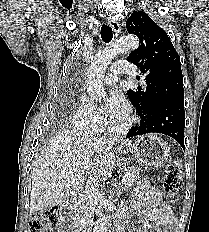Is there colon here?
<instances>
[{
  "instance_id": "colon-1",
  "label": "colon",
  "mask_w": 209,
  "mask_h": 232,
  "mask_svg": "<svg viewBox=\"0 0 209 232\" xmlns=\"http://www.w3.org/2000/svg\"><path fill=\"white\" fill-rule=\"evenodd\" d=\"M182 186L181 165L172 160L166 167L163 177V188L169 198L178 196ZM59 209L47 207L32 214L29 223V232H51L59 222Z\"/></svg>"
}]
</instances>
